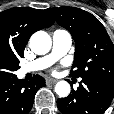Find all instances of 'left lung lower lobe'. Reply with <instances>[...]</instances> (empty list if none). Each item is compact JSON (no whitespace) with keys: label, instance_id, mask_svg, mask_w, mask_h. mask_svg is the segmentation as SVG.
Listing matches in <instances>:
<instances>
[{"label":"left lung lower lobe","instance_id":"1","mask_svg":"<svg viewBox=\"0 0 114 114\" xmlns=\"http://www.w3.org/2000/svg\"><path fill=\"white\" fill-rule=\"evenodd\" d=\"M114 97V83L82 78L77 91L57 100L58 109L63 114H103Z\"/></svg>","mask_w":114,"mask_h":114}]
</instances>
